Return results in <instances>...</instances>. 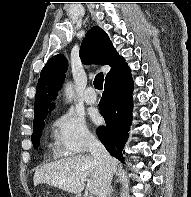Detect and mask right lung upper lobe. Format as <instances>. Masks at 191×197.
<instances>
[{
    "mask_svg": "<svg viewBox=\"0 0 191 197\" xmlns=\"http://www.w3.org/2000/svg\"><path fill=\"white\" fill-rule=\"evenodd\" d=\"M80 59L86 65L111 66L105 81L122 74L128 69V65L116 52L109 36L99 26L92 27L86 33L80 48ZM67 65L65 56L58 54L49 59L42 69L35 96L33 126L45 119L51 100L56 97V92L64 81Z\"/></svg>",
    "mask_w": 191,
    "mask_h": 197,
    "instance_id": "right-lung-upper-lobe-1",
    "label": "right lung upper lobe"
}]
</instances>
